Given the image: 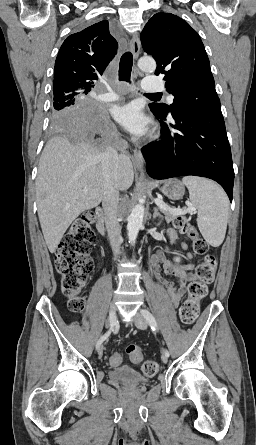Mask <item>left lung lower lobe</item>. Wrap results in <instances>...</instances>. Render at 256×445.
<instances>
[{
  "instance_id": "1",
  "label": "left lung lower lobe",
  "mask_w": 256,
  "mask_h": 445,
  "mask_svg": "<svg viewBox=\"0 0 256 445\" xmlns=\"http://www.w3.org/2000/svg\"><path fill=\"white\" fill-rule=\"evenodd\" d=\"M161 123V140L142 148L155 179L195 175L217 181L232 201L234 170L221 110L180 105L172 121L151 110Z\"/></svg>"
}]
</instances>
